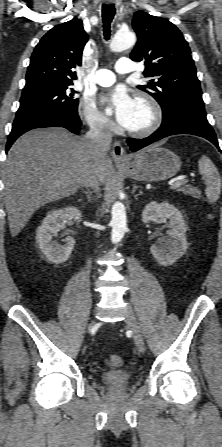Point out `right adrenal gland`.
Segmentation results:
<instances>
[{"label": "right adrenal gland", "instance_id": "2a0ac1e0", "mask_svg": "<svg viewBox=\"0 0 222 447\" xmlns=\"http://www.w3.org/2000/svg\"><path fill=\"white\" fill-rule=\"evenodd\" d=\"M83 192L85 193L88 201H92L93 200L91 192H89V191H83Z\"/></svg>", "mask_w": 222, "mask_h": 447}]
</instances>
